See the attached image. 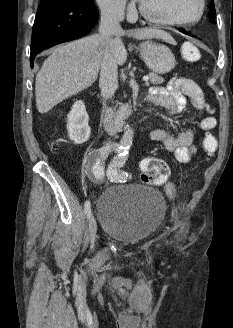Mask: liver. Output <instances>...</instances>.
Returning a JSON list of instances; mask_svg holds the SVG:
<instances>
[{"label":"liver","instance_id":"obj_1","mask_svg":"<svg viewBox=\"0 0 233 328\" xmlns=\"http://www.w3.org/2000/svg\"><path fill=\"white\" fill-rule=\"evenodd\" d=\"M136 39L159 38L175 44L173 37L160 29L143 28L114 33L109 45L117 65H123L127 51L121 36ZM107 44L100 34L90 35L57 47L36 75L35 96L40 113L50 111L61 101L91 86L97 79Z\"/></svg>","mask_w":233,"mask_h":328}]
</instances>
